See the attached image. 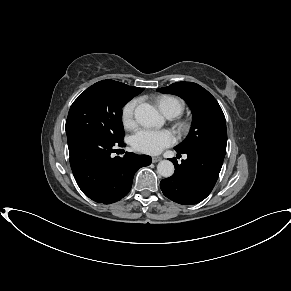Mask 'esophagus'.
Segmentation results:
<instances>
[{
    "instance_id": "esophagus-1",
    "label": "esophagus",
    "mask_w": 291,
    "mask_h": 291,
    "mask_svg": "<svg viewBox=\"0 0 291 291\" xmlns=\"http://www.w3.org/2000/svg\"><path fill=\"white\" fill-rule=\"evenodd\" d=\"M160 160H162V157H160V156H154V157H152V162L153 163L159 162Z\"/></svg>"
}]
</instances>
